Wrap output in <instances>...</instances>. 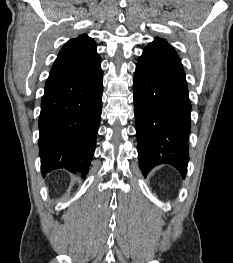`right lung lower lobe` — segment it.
Wrapping results in <instances>:
<instances>
[{
	"instance_id": "obj_1",
	"label": "right lung lower lobe",
	"mask_w": 233,
	"mask_h": 263,
	"mask_svg": "<svg viewBox=\"0 0 233 263\" xmlns=\"http://www.w3.org/2000/svg\"><path fill=\"white\" fill-rule=\"evenodd\" d=\"M101 61L76 75H49L41 101L38 140L41 172H88L101 118Z\"/></svg>"
}]
</instances>
